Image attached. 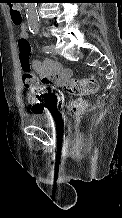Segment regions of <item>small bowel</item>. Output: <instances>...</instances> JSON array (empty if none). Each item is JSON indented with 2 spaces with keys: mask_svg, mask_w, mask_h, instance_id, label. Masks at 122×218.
Segmentation results:
<instances>
[{
  "mask_svg": "<svg viewBox=\"0 0 122 218\" xmlns=\"http://www.w3.org/2000/svg\"><path fill=\"white\" fill-rule=\"evenodd\" d=\"M26 26L22 25L19 32L26 34ZM33 70L36 72L41 83L47 86L60 87L71 77L72 71L64 68L60 63L47 59L43 62L35 60L32 63Z\"/></svg>",
  "mask_w": 122,
  "mask_h": 218,
  "instance_id": "1",
  "label": "small bowel"
}]
</instances>
